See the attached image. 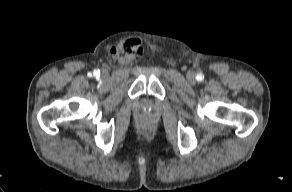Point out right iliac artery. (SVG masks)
Instances as JSON below:
<instances>
[{
    "instance_id": "right-iliac-artery-1",
    "label": "right iliac artery",
    "mask_w": 292,
    "mask_h": 192,
    "mask_svg": "<svg viewBox=\"0 0 292 192\" xmlns=\"http://www.w3.org/2000/svg\"><path fill=\"white\" fill-rule=\"evenodd\" d=\"M100 74V71L99 70H94V75L95 76H98Z\"/></svg>"
}]
</instances>
